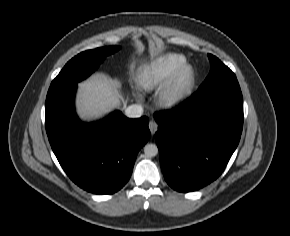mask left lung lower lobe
<instances>
[{
	"instance_id": "0a47b994",
	"label": "left lung lower lobe",
	"mask_w": 290,
	"mask_h": 236,
	"mask_svg": "<svg viewBox=\"0 0 290 236\" xmlns=\"http://www.w3.org/2000/svg\"><path fill=\"white\" fill-rule=\"evenodd\" d=\"M161 169L176 191L198 190L217 179L238 146L243 98L237 80L198 90L154 114Z\"/></svg>"
}]
</instances>
